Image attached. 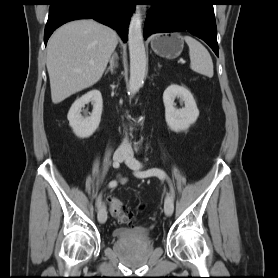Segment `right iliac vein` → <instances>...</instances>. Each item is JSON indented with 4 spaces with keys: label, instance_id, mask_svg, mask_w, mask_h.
Instances as JSON below:
<instances>
[{
    "label": "right iliac vein",
    "instance_id": "63e3f726",
    "mask_svg": "<svg viewBox=\"0 0 278 278\" xmlns=\"http://www.w3.org/2000/svg\"><path fill=\"white\" fill-rule=\"evenodd\" d=\"M126 152L124 151H116L113 155V160L114 162L120 163L122 162L124 159H126ZM107 220V211H106V207L104 204H102L98 210V221L100 223H105Z\"/></svg>",
    "mask_w": 278,
    "mask_h": 278
}]
</instances>
